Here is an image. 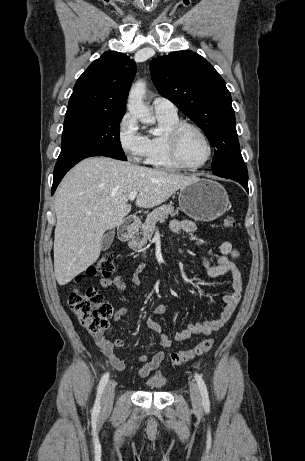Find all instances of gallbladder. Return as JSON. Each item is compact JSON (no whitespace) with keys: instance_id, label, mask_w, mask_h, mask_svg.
<instances>
[{"instance_id":"1","label":"gallbladder","mask_w":305,"mask_h":461,"mask_svg":"<svg viewBox=\"0 0 305 461\" xmlns=\"http://www.w3.org/2000/svg\"><path fill=\"white\" fill-rule=\"evenodd\" d=\"M114 236H115L114 230H110L106 234H104L102 243H101V249L103 251L107 250L111 246Z\"/></svg>"}]
</instances>
